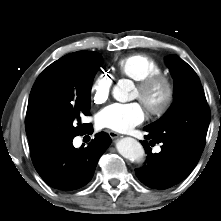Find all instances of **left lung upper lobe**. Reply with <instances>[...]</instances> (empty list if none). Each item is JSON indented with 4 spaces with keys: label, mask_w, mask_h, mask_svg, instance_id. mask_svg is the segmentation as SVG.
<instances>
[{
    "label": "left lung upper lobe",
    "mask_w": 221,
    "mask_h": 221,
    "mask_svg": "<svg viewBox=\"0 0 221 221\" xmlns=\"http://www.w3.org/2000/svg\"><path fill=\"white\" fill-rule=\"evenodd\" d=\"M166 63L174 78V102L162 118L146 127L157 142H179L202 152L210 110L201 82L177 55L169 56Z\"/></svg>",
    "instance_id": "obj_1"
}]
</instances>
